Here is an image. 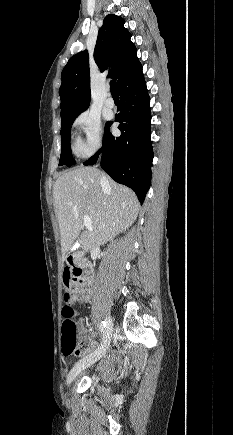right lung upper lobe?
Returning a JSON list of instances; mask_svg holds the SVG:
<instances>
[{"mask_svg": "<svg viewBox=\"0 0 233 435\" xmlns=\"http://www.w3.org/2000/svg\"><path fill=\"white\" fill-rule=\"evenodd\" d=\"M124 20L113 14L105 17L99 29L94 50V59L101 71L108 67V77L119 86L142 72L136 55V47L131 42V34L124 28ZM61 117L78 115L90 104V73L88 52L82 51L70 58L62 71L60 86Z\"/></svg>", "mask_w": 233, "mask_h": 435, "instance_id": "1", "label": "right lung upper lobe"}]
</instances>
